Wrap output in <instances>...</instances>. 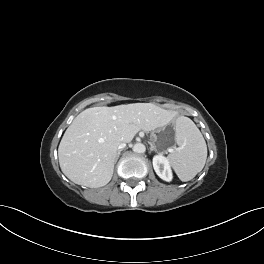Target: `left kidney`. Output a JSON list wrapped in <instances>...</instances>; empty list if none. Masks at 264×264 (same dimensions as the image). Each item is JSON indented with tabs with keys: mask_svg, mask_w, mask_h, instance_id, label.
Here are the masks:
<instances>
[{
	"mask_svg": "<svg viewBox=\"0 0 264 264\" xmlns=\"http://www.w3.org/2000/svg\"><path fill=\"white\" fill-rule=\"evenodd\" d=\"M153 167L156 174L163 180L170 182L172 180V171L168 159L162 154L153 157Z\"/></svg>",
	"mask_w": 264,
	"mask_h": 264,
	"instance_id": "obj_1",
	"label": "left kidney"
}]
</instances>
